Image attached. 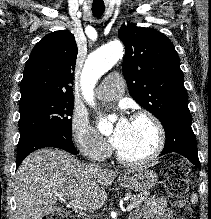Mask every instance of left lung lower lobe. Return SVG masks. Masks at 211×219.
<instances>
[{
	"label": "left lung lower lobe",
	"instance_id": "left-lung-lower-lobe-1",
	"mask_svg": "<svg viewBox=\"0 0 211 219\" xmlns=\"http://www.w3.org/2000/svg\"><path fill=\"white\" fill-rule=\"evenodd\" d=\"M191 115H175L167 120L164 129L166 142L160 155L175 152L188 158L200 168L195 135L191 128Z\"/></svg>",
	"mask_w": 211,
	"mask_h": 219
}]
</instances>
